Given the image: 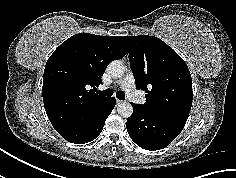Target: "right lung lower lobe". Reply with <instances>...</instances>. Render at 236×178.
Listing matches in <instances>:
<instances>
[{"label":"right lung lower lobe","mask_w":236,"mask_h":178,"mask_svg":"<svg viewBox=\"0 0 236 178\" xmlns=\"http://www.w3.org/2000/svg\"><path fill=\"white\" fill-rule=\"evenodd\" d=\"M116 104L114 97H111L106 107L98 118L86 127L61 135L64 139L75 144H84L96 139L101 133L107 117L111 114Z\"/></svg>","instance_id":"right-lung-lower-lobe-1"}]
</instances>
